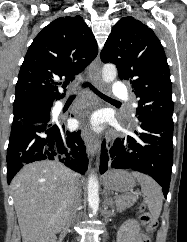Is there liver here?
I'll list each match as a JSON object with an SVG mask.
<instances>
[{
  "mask_svg": "<svg viewBox=\"0 0 187 242\" xmlns=\"http://www.w3.org/2000/svg\"><path fill=\"white\" fill-rule=\"evenodd\" d=\"M82 183L58 161L28 164L14 177L11 190L22 242H42L68 225L72 182Z\"/></svg>",
  "mask_w": 187,
  "mask_h": 242,
  "instance_id": "liver-1",
  "label": "liver"
}]
</instances>
